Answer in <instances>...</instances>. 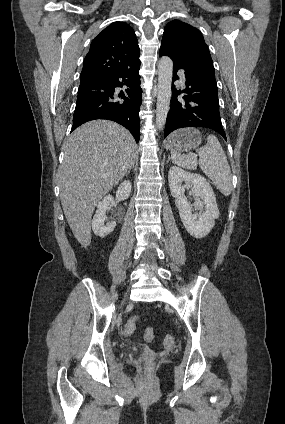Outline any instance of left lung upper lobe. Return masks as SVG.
Segmentation results:
<instances>
[{
  "instance_id": "5c2ea615",
  "label": "left lung upper lobe",
  "mask_w": 285,
  "mask_h": 424,
  "mask_svg": "<svg viewBox=\"0 0 285 424\" xmlns=\"http://www.w3.org/2000/svg\"><path fill=\"white\" fill-rule=\"evenodd\" d=\"M161 47L183 60L204 59L212 62L202 33L180 20H173L166 25Z\"/></svg>"
}]
</instances>
